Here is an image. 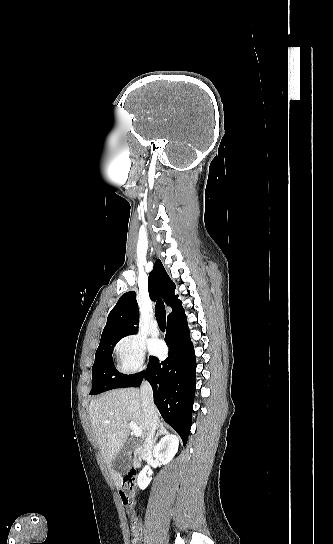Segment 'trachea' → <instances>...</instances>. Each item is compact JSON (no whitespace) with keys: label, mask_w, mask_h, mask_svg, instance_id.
Returning <instances> with one entry per match:
<instances>
[{"label":"trachea","mask_w":333,"mask_h":544,"mask_svg":"<svg viewBox=\"0 0 333 544\" xmlns=\"http://www.w3.org/2000/svg\"><path fill=\"white\" fill-rule=\"evenodd\" d=\"M155 317L157 319L160 329H165L166 327V310L164 303L160 300L156 303L155 306Z\"/></svg>","instance_id":"obj_1"}]
</instances>
